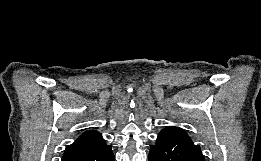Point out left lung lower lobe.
<instances>
[{"label":"left lung lower lobe","mask_w":261,"mask_h":161,"mask_svg":"<svg viewBox=\"0 0 261 161\" xmlns=\"http://www.w3.org/2000/svg\"><path fill=\"white\" fill-rule=\"evenodd\" d=\"M149 161H205L199 145L171 131H161L151 145Z\"/></svg>","instance_id":"1"}]
</instances>
